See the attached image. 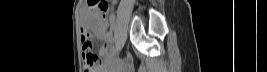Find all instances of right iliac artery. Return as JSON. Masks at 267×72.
<instances>
[{
  "mask_svg": "<svg viewBox=\"0 0 267 72\" xmlns=\"http://www.w3.org/2000/svg\"><path fill=\"white\" fill-rule=\"evenodd\" d=\"M116 43H112L111 47H110V54H113V52L115 51L116 49Z\"/></svg>",
  "mask_w": 267,
  "mask_h": 72,
  "instance_id": "82829eb1",
  "label": "right iliac artery"
}]
</instances>
